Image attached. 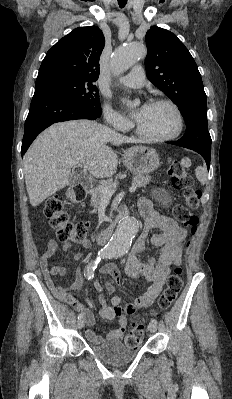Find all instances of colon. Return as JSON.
Listing matches in <instances>:
<instances>
[{
	"label": "colon",
	"mask_w": 232,
	"mask_h": 399,
	"mask_svg": "<svg viewBox=\"0 0 232 399\" xmlns=\"http://www.w3.org/2000/svg\"><path fill=\"white\" fill-rule=\"evenodd\" d=\"M171 175L180 182L183 188V196L189 203H180V207L175 209V218H181V222H185V230H196L199 226V217H190V214H195L198 205L201 202V191H196L195 181L192 175L183 168H193V163L189 160H173L171 163ZM43 216L50 219V225L53 231H57L60 239L71 238L77 240V244H85L87 235L86 227H89V222H76L75 226L71 224V218L62 210V204L59 199L50 197L45 200L43 204ZM184 243H191V238H184ZM184 272V267L180 263H175L170 269V274L175 276H167V289L162 293V299L156 311H152V316H159L160 312H168L172 308V303L175 295L182 289V284L179 276ZM144 330H146V322H133L131 330L125 337L123 347H137L139 341L144 338Z\"/></svg>",
	"instance_id": "5ec220e1"
}]
</instances>
